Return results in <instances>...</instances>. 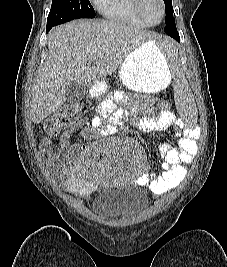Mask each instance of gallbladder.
<instances>
[{
    "label": "gallbladder",
    "instance_id": "gallbladder-1",
    "mask_svg": "<svg viewBox=\"0 0 227 267\" xmlns=\"http://www.w3.org/2000/svg\"><path fill=\"white\" fill-rule=\"evenodd\" d=\"M86 94V86L72 82L65 90L66 101L69 105L78 103Z\"/></svg>",
    "mask_w": 227,
    "mask_h": 267
}]
</instances>
